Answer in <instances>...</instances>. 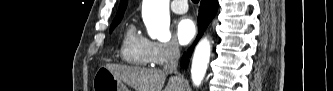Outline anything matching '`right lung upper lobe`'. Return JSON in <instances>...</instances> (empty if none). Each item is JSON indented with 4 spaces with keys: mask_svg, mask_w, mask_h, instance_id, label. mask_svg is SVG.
I'll list each match as a JSON object with an SVG mask.
<instances>
[{
    "mask_svg": "<svg viewBox=\"0 0 333 91\" xmlns=\"http://www.w3.org/2000/svg\"><path fill=\"white\" fill-rule=\"evenodd\" d=\"M126 6H127V0H121L115 19L123 17V13L126 9Z\"/></svg>",
    "mask_w": 333,
    "mask_h": 91,
    "instance_id": "obj_1",
    "label": "right lung upper lobe"
}]
</instances>
